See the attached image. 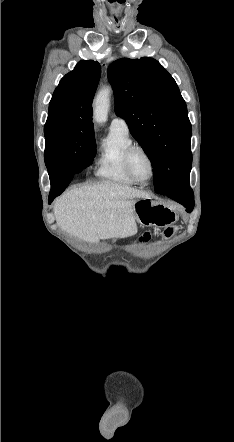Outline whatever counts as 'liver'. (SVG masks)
<instances>
[{"label": "liver", "instance_id": "liver-1", "mask_svg": "<svg viewBox=\"0 0 234 442\" xmlns=\"http://www.w3.org/2000/svg\"><path fill=\"white\" fill-rule=\"evenodd\" d=\"M149 198L143 191L105 182L74 188L54 205L58 226L81 240L127 238L137 233L133 205Z\"/></svg>", "mask_w": 234, "mask_h": 442}]
</instances>
